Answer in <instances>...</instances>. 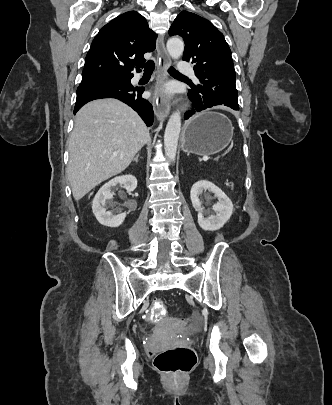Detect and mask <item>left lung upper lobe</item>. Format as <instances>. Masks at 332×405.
I'll return each instance as SVG.
<instances>
[{
  "label": "left lung upper lobe",
  "instance_id": "left-lung-upper-lobe-1",
  "mask_svg": "<svg viewBox=\"0 0 332 405\" xmlns=\"http://www.w3.org/2000/svg\"><path fill=\"white\" fill-rule=\"evenodd\" d=\"M169 35L184 39L183 60L194 63L199 84L189 92L199 98L203 106H227L239 110L236 76L231 50L223 34L207 19L182 11L169 29Z\"/></svg>",
  "mask_w": 332,
  "mask_h": 405
}]
</instances>
